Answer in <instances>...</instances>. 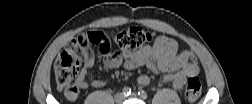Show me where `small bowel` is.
<instances>
[{"label":"small bowel","instance_id":"small-bowel-1","mask_svg":"<svg viewBox=\"0 0 252 104\" xmlns=\"http://www.w3.org/2000/svg\"><path fill=\"white\" fill-rule=\"evenodd\" d=\"M95 65L94 58L85 60V69H91ZM104 65L109 69L124 67L125 69H136L146 66L154 74L163 73L159 84L171 83L175 89H181L188 77L199 73V67L194 61V56L189 51L178 52L177 42L167 36H159L152 45L144 46L136 51H122L108 56ZM140 86L150 84V79L142 75L137 80ZM106 85L104 80H93L87 82L82 76L81 89L89 87L101 88ZM68 98V97H67ZM79 95L68 100L76 101Z\"/></svg>","mask_w":252,"mask_h":104}]
</instances>
